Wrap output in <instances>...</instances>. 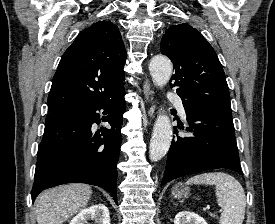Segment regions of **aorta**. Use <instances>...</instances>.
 Here are the masks:
<instances>
[{"mask_svg": "<svg viewBox=\"0 0 275 224\" xmlns=\"http://www.w3.org/2000/svg\"><path fill=\"white\" fill-rule=\"evenodd\" d=\"M150 74L157 86L162 87L171 78L173 66L165 56H155L149 64ZM172 140V126L168 115L160 113L157 117L150 140L149 157L151 161H158L168 152Z\"/></svg>", "mask_w": 275, "mask_h": 224, "instance_id": "1", "label": "aorta"}]
</instances>
